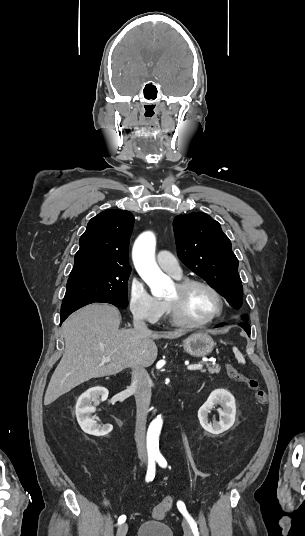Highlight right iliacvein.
<instances>
[{
	"mask_svg": "<svg viewBox=\"0 0 305 536\" xmlns=\"http://www.w3.org/2000/svg\"><path fill=\"white\" fill-rule=\"evenodd\" d=\"M127 530H128L127 524L125 523L121 524L117 530L116 536H126Z\"/></svg>",
	"mask_w": 305,
	"mask_h": 536,
	"instance_id": "right-iliac-vein-1",
	"label": "right iliac vein"
}]
</instances>
